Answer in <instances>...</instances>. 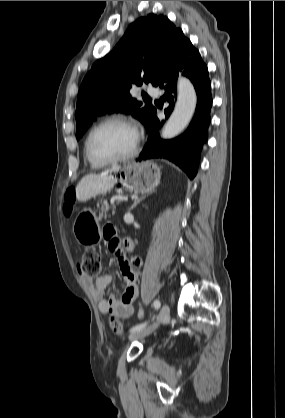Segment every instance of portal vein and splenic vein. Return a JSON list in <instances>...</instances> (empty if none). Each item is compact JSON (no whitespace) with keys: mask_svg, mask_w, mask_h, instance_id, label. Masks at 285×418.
I'll list each match as a JSON object with an SVG mask.
<instances>
[{"mask_svg":"<svg viewBox=\"0 0 285 418\" xmlns=\"http://www.w3.org/2000/svg\"><path fill=\"white\" fill-rule=\"evenodd\" d=\"M116 199L118 200V201H127L128 200V198H126V197H116ZM111 203H114V200H112L111 201Z\"/></svg>","mask_w":285,"mask_h":418,"instance_id":"portal-vein-and-splenic-vein-1","label":"portal vein and splenic vein"}]
</instances>
